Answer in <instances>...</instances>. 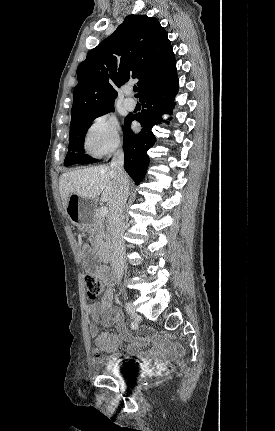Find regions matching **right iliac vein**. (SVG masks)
Here are the masks:
<instances>
[{
	"label": "right iliac vein",
	"mask_w": 275,
	"mask_h": 431,
	"mask_svg": "<svg viewBox=\"0 0 275 431\" xmlns=\"http://www.w3.org/2000/svg\"><path fill=\"white\" fill-rule=\"evenodd\" d=\"M125 307H126L127 312L132 317H136L137 316V312H136L135 306L132 303H130V302L126 303Z\"/></svg>",
	"instance_id": "obj_1"
}]
</instances>
